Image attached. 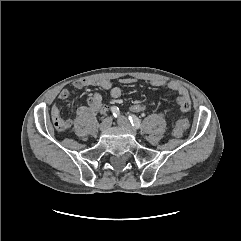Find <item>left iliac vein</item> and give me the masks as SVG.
Listing matches in <instances>:
<instances>
[{
  "label": "left iliac vein",
  "mask_w": 241,
  "mask_h": 241,
  "mask_svg": "<svg viewBox=\"0 0 241 241\" xmlns=\"http://www.w3.org/2000/svg\"><path fill=\"white\" fill-rule=\"evenodd\" d=\"M117 122L121 127L127 129L134 136L137 135L135 128L131 125V123L129 122V120L126 117H124V116L118 117Z\"/></svg>",
  "instance_id": "4c4485c4"
}]
</instances>
